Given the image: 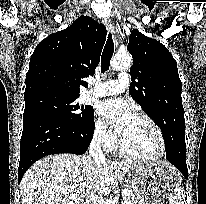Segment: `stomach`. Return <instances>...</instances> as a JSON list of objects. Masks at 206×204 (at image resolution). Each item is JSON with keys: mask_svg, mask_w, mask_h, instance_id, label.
<instances>
[{"mask_svg": "<svg viewBox=\"0 0 206 204\" xmlns=\"http://www.w3.org/2000/svg\"><path fill=\"white\" fill-rule=\"evenodd\" d=\"M127 182L139 198V204H163L180 188L181 177L168 163H149L133 167L127 173Z\"/></svg>", "mask_w": 206, "mask_h": 204, "instance_id": "1", "label": "stomach"}]
</instances>
